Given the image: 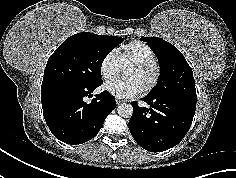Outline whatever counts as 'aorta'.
Masks as SVG:
<instances>
[{
	"instance_id": "1",
	"label": "aorta",
	"mask_w": 236,
	"mask_h": 178,
	"mask_svg": "<svg viewBox=\"0 0 236 178\" xmlns=\"http://www.w3.org/2000/svg\"><path fill=\"white\" fill-rule=\"evenodd\" d=\"M118 114L123 118H129L133 114V107L131 104L121 103L117 107Z\"/></svg>"
}]
</instances>
